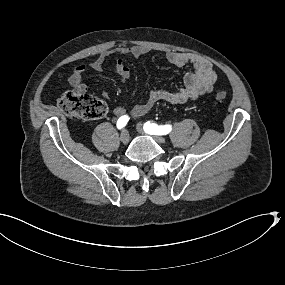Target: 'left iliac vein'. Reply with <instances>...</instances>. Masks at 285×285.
I'll list each match as a JSON object with an SVG mask.
<instances>
[{
	"mask_svg": "<svg viewBox=\"0 0 285 285\" xmlns=\"http://www.w3.org/2000/svg\"><path fill=\"white\" fill-rule=\"evenodd\" d=\"M137 131H138L140 134H142V135L144 134L142 124H140V123L137 124ZM152 138H153L156 142H158L159 144H163V143H165V141H166V139H165L164 137H162V136H155V135H153Z\"/></svg>",
	"mask_w": 285,
	"mask_h": 285,
	"instance_id": "4c4485c4",
	"label": "left iliac vein"
}]
</instances>
